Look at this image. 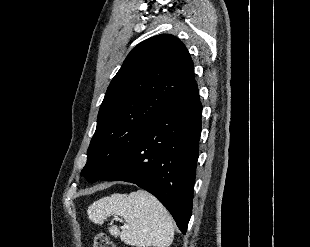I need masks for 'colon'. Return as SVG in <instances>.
<instances>
[{
    "mask_svg": "<svg viewBox=\"0 0 310 247\" xmlns=\"http://www.w3.org/2000/svg\"><path fill=\"white\" fill-rule=\"evenodd\" d=\"M93 247H116L111 239L103 232H97L93 238Z\"/></svg>",
    "mask_w": 310,
    "mask_h": 247,
    "instance_id": "obj_1",
    "label": "colon"
}]
</instances>
